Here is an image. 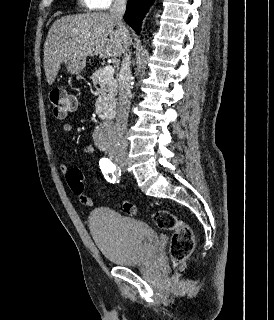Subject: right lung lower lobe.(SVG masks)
<instances>
[{"label":"right lung lower lobe","instance_id":"right-lung-lower-lobe-1","mask_svg":"<svg viewBox=\"0 0 274 320\" xmlns=\"http://www.w3.org/2000/svg\"><path fill=\"white\" fill-rule=\"evenodd\" d=\"M153 2L154 0H128L124 20L137 34L140 33L142 20Z\"/></svg>","mask_w":274,"mask_h":320}]
</instances>
